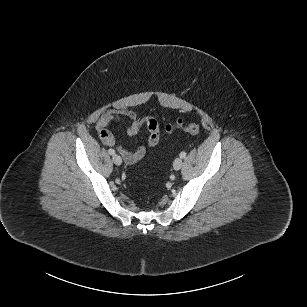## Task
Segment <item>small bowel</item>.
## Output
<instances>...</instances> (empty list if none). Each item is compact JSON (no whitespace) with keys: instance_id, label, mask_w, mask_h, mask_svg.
<instances>
[{"instance_id":"obj_1","label":"small bowel","mask_w":307,"mask_h":307,"mask_svg":"<svg viewBox=\"0 0 307 307\" xmlns=\"http://www.w3.org/2000/svg\"><path fill=\"white\" fill-rule=\"evenodd\" d=\"M113 121H128L126 131L131 136L137 134L142 128H147L149 131L147 144L150 148L155 147L159 142L160 127L156 119L152 117L138 118L137 114L129 109H109L102 114L96 123V131L104 145L114 146L116 144L115 138L108 128ZM117 148L127 164L141 160L147 152L145 146L128 150L119 144Z\"/></svg>"}]
</instances>
